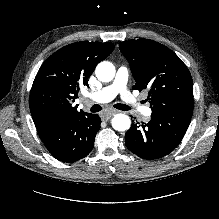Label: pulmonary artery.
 Returning a JSON list of instances; mask_svg holds the SVG:
<instances>
[{
  "label": "pulmonary artery",
  "instance_id": "1",
  "mask_svg": "<svg viewBox=\"0 0 219 219\" xmlns=\"http://www.w3.org/2000/svg\"><path fill=\"white\" fill-rule=\"evenodd\" d=\"M128 76L129 73L125 67L119 68L115 74L113 83L92 93L90 97L86 98L87 102L107 103L111 101L119 92L125 91ZM139 111L145 120H148L151 109L148 107H140Z\"/></svg>",
  "mask_w": 219,
  "mask_h": 219
}]
</instances>
